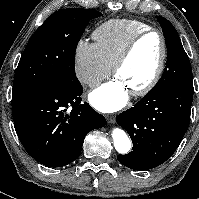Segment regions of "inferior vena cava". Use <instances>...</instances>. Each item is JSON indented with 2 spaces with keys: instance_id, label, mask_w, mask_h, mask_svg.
Returning <instances> with one entry per match:
<instances>
[{
  "instance_id": "inferior-vena-cava-1",
  "label": "inferior vena cava",
  "mask_w": 199,
  "mask_h": 199,
  "mask_svg": "<svg viewBox=\"0 0 199 199\" xmlns=\"http://www.w3.org/2000/svg\"><path fill=\"white\" fill-rule=\"evenodd\" d=\"M99 84H100L99 81H94V82H93V85H96V86H97V85H99Z\"/></svg>"
}]
</instances>
